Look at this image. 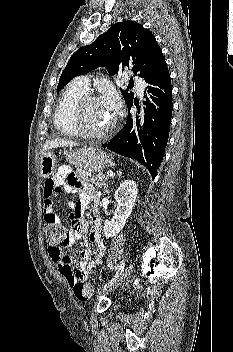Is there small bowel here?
<instances>
[{"instance_id":"obj_1","label":"small bowel","mask_w":233,"mask_h":352,"mask_svg":"<svg viewBox=\"0 0 233 352\" xmlns=\"http://www.w3.org/2000/svg\"><path fill=\"white\" fill-rule=\"evenodd\" d=\"M61 193H78L79 195L77 202L67 203V206L72 210L69 215L71 223L68 227L61 225V219L53 205L54 198ZM95 203L96 193L94 189L82 183L68 166L60 167L55 176L45 181L44 222L61 227L66 240L64 246L51 245L48 253L51 259L57 263L60 273L71 287L100 265L105 253V243L101 236L102 221L96 214L92 219L88 234L89 241L95 246L93 253L89 250L71 253L63 250L64 247L72 245L76 240L83 237L88 229V223L83 216V209L88 204L95 205Z\"/></svg>"}]
</instances>
